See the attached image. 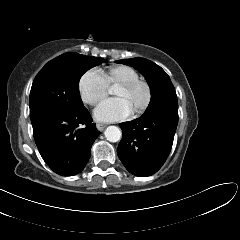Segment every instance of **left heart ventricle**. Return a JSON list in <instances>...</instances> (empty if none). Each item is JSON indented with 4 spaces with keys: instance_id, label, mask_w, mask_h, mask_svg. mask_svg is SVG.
<instances>
[{
    "instance_id": "b2bd125f",
    "label": "left heart ventricle",
    "mask_w": 240,
    "mask_h": 240,
    "mask_svg": "<svg viewBox=\"0 0 240 240\" xmlns=\"http://www.w3.org/2000/svg\"><path fill=\"white\" fill-rule=\"evenodd\" d=\"M114 94L118 97L126 99L133 110L138 109L146 99V91L141 86L132 90L115 87Z\"/></svg>"
}]
</instances>
